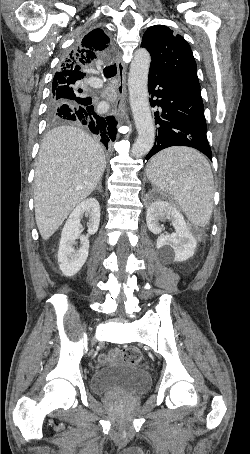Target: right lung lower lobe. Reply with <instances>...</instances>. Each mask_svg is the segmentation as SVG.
Masks as SVG:
<instances>
[{
	"instance_id": "98d812e1",
	"label": "right lung lower lobe",
	"mask_w": 250,
	"mask_h": 454,
	"mask_svg": "<svg viewBox=\"0 0 250 454\" xmlns=\"http://www.w3.org/2000/svg\"><path fill=\"white\" fill-rule=\"evenodd\" d=\"M56 113L64 120L76 121L85 125L89 131L98 136L108 148V143L114 141L117 134L114 116L102 117L95 113L90 97L80 104L63 103L57 107Z\"/></svg>"
}]
</instances>
